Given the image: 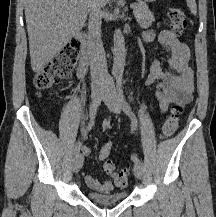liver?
Listing matches in <instances>:
<instances>
[{
	"mask_svg": "<svg viewBox=\"0 0 216 217\" xmlns=\"http://www.w3.org/2000/svg\"><path fill=\"white\" fill-rule=\"evenodd\" d=\"M109 0H24L31 67L36 73L84 26L93 8Z\"/></svg>",
	"mask_w": 216,
	"mask_h": 217,
	"instance_id": "1",
	"label": "liver"
}]
</instances>
